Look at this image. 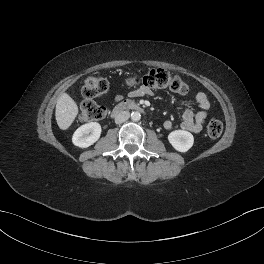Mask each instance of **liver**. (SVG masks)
<instances>
[{
	"instance_id": "1",
	"label": "liver",
	"mask_w": 264,
	"mask_h": 264,
	"mask_svg": "<svg viewBox=\"0 0 264 264\" xmlns=\"http://www.w3.org/2000/svg\"><path fill=\"white\" fill-rule=\"evenodd\" d=\"M78 114L76 102L67 93H63L57 100L55 117L61 130H67Z\"/></svg>"
}]
</instances>
